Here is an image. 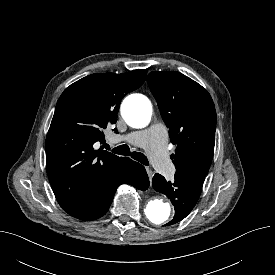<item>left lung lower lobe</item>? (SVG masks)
Segmentation results:
<instances>
[{
	"mask_svg": "<svg viewBox=\"0 0 275 275\" xmlns=\"http://www.w3.org/2000/svg\"><path fill=\"white\" fill-rule=\"evenodd\" d=\"M152 181L153 188L165 194L175 206V216L167 225L181 221L191 212L203 186L202 182L176 174L172 181H167L162 175L155 174Z\"/></svg>",
	"mask_w": 275,
	"mask_h": 275,
	"instance_id": "0a47b994",
	"label": "left lung lower lobe"
}]
</instances>
